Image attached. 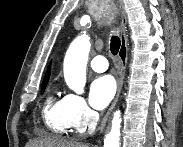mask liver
I'll return each instance as SVG.
<instances>
[{"mask_svg":"<svg viewBox=\"0 0 183 147\" xmlns=\"http://www.w3.org/2000/svg\"><path fill=\"white\" fill-rule=\"evenodd\" d=\"M26 147H87L84 144L57 137H40L29 141Z\"/></svg>","mask_w":183,"mask_h":147,"instance_id":"6515ba94","label":"liver"}]
</instances>
